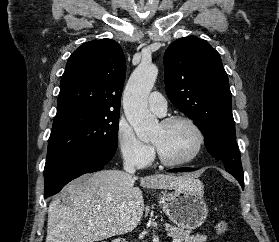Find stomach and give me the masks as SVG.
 <instances>
[{"label": "stomach", "mask_w": 279, "mask_h": 242, "mask_svg": "<svg viewBox=\"0 0 279 242\" xmlns=\"http://www.w3.org/2000/svg\"><path fill=\"white\" fill-rule=\"evenodd\" d=\"M203 186L198 189H177L159 195V204L167 217L179 228L193 230L200 227L208 215L203 199Z\"/></svg>", "instance_id": "obj_1"}]
</instances>
